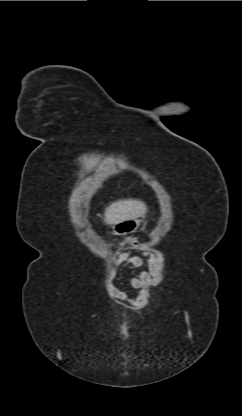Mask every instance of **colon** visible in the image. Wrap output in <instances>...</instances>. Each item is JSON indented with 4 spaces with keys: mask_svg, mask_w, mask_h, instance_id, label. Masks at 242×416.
Here are the masks:
<instances>
[{
    "mask_svg": "<svg viewBox=\"0 0 242 416\" xmlns=\"http://www.w3.org/2000/svg\"><path fill=\"white\" fill-rule=\"evenodd\" d=\"M129 243H130V245H131L132 247H138V246H139V242H138V240H137L136 238H131V239L129 240Z\"/></svg>",
    "mask_w": 242,
    "mask_h": 416,
    "instance_id": "obj_1",
    "label": "colon"
}]
</instances>
